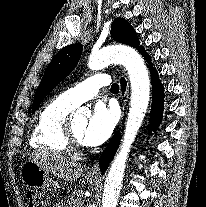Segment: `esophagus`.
Instances as JSON below:
<instances>
[{
  "label": "esophagus",
  "instance_id": "esophagus-1",
  "mask_svg": "<svg viewBox=\"0 0 206 207\" xmlns=\"http://www.w3.org/2000/svg\"><path fill=\"white\" fill-rule=\"evenodd\" d=\"M124 75H125V74H124ZM123 116H124V107H123V112H122L121 122H122ZM121 122H120V123H121ZM87 173H88L89 175H92L93 177H99V176H100V164H99V160L96 161L92 166H90V167L87 169Z\"/></svg>",
  "mask_w": 206,
  "mask_h": 207
}]
</instances>
